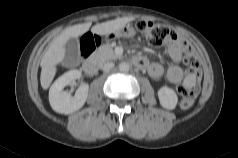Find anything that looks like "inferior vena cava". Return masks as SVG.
Masks as SVG:
<instances>
[{
  "instance_id": "inferior-vena-cava-1",
  "label": "inferior vena cava",
  "mask_w": 238,
  "mask_h": 158,
  "mask_svg": "<svg viewBox=\"0 0 238 158\" xmlns=\"http://www.w3.org/2000/svg\"><path fill=\"white\" fill-rule=\"evenodd\" d=\"M114 67V63L112 62H108V63H105L102 67L103 71L104 72H108L110 69H112Z\"/></svg>"
}]
</instances>
